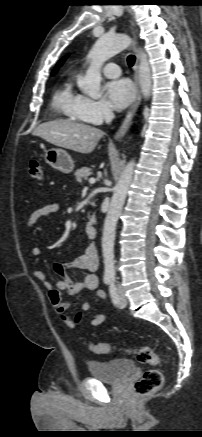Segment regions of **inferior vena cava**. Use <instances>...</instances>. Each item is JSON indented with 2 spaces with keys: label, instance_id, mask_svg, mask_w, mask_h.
<instances>
[{
  "label": "inferior vena cava",
  "instance_id": "inferior-vena-cava-1",
  "mask_svg": "<svg viewBox=\"0 0 202 437\" xmlns=\"http://www.w3.org/2000/svg\"><path fill=\"white\" fill-rule=\"evenodd\" d=\"M104 118H105V121L107 124H110V122L114 118V113L112 112V110L110 108H107L104 111Z\"/></svg>",
  "mask_w": 202,
  "mask_h": 437
}]
</instances>
